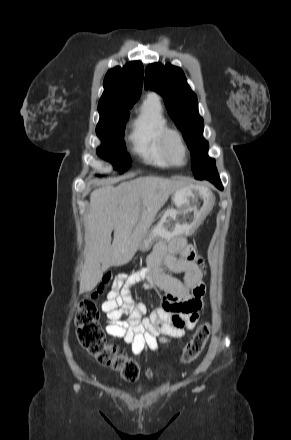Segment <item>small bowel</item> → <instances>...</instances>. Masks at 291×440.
<instances>
[{"label": "small bowel", "instance_id": "obj_1", "mask_svg": "<svg viewBox=\"0 0 291 440\" xmlns=\"http://www.w3.org/2000/svg\"><path fill=\"white\" fill-rule=\"evenodd\" d=\"M162 263L172 272L184 273V281L161 273ZM204 275L203 263L186 239L157 244L147 258V270L118 276L112 282L101 307L108 316L107 334L130 344L134 355L147 348L156 350L159 336L162 343L184 337V328L193 329L204 306ZM142 282L149 283V289L164 293L160 308L149 316H145L146 306L131 296L132 288Z\"/></svg>", "mask_w": 291, "mask_h": 440}]
</instances>
